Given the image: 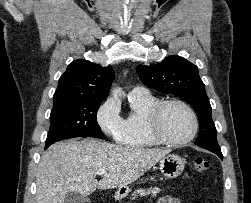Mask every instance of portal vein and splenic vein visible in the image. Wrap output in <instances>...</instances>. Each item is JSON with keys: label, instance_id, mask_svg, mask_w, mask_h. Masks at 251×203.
<instances>
[{"label": "portal vein and splenic vein", "instance_id": "1", "mask_svg": "<svg viewBox=\"0 0 251 203\" xmlns=\"http://www.w3.org/2000/svg\"><path fill=\"white\" fill-rule=\"evenodd\" d=\"M97 175H104L106 174V170L105 169H99L97 172H96Z\"/></svg>", "mask_w": 251, "mask_h": 203}]
</instances>
